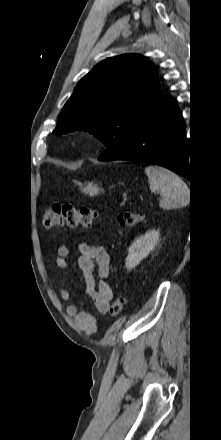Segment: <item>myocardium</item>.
Here are the masks:
<instances>
[{"instance_id": "myocardium-1", "label": "myocardium", "mask_w": 221, "mask_h": 440, "mask_svg": "<svg viewBox=\"0 0 221 440\" xmlns=\"http://www.w3.org/2000/svg\"><path fill=\"white\" fill-rule=\"evenodd\" d=\"M80 142H81V139H80V138H75V139H74V143L79 144Z\"/></svg>"}]
</instances>
